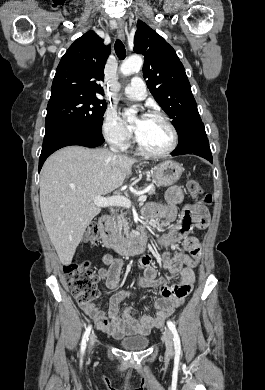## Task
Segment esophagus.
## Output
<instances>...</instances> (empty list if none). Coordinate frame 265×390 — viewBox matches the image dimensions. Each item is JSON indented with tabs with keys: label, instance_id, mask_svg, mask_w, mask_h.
<instances>
[{
	"label": "esophagus",
	"instance_id": "obj_1",
	"mask_svg": "<svg viewBox=\"0 0 265 390\" xmlns=\"http://www.w3.org/2000/svg\"><path fill=\"white\" fill-rule=\"evenodd\" d=\"M117 33L118 37L121 40H125V34H124V20L118 19L117 20Z\"/></svg>",
	"mask_w": 265,
	"mask_h": 390
}]
</instances>
